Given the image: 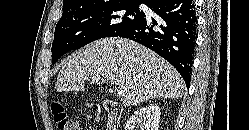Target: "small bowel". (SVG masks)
Returning a JSON list of instances; mask_svg holds the SVG:
<instances>
[{
  "mask_svg": "<svg viewBox=\"0 0 249 130\" xmlns=\"http://www.w3.org/2000/svg\"><path fill=\"white\" fill-rule=\"evenodd\" d=\"M86 130H96L94 127H88Z\"/></svg>",
  "mask_w": 249,
  "mask_h": 130,
  "instance_id": "small-bowel-1",
  "label": "small bowel"
}]
</instances>
